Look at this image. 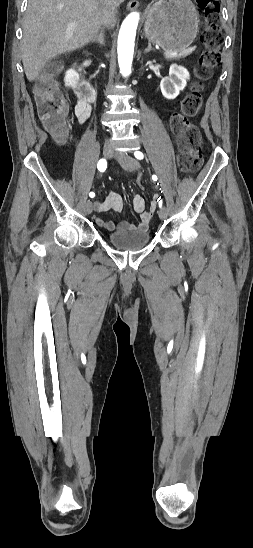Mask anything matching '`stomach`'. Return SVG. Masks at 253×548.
<instances>
[{
	"label": "stomach",
	"instance_id": "1",
	"mask_svg": "<svg viewBox=\"0 0 253 548\" xmlns=\"http://www.w3.org/2000/svg\"><path fill=\"white\" fill-rule=\"evenodd\" d=\"M198 13L190 0H159L149 10L145 36L171 53L186 50L198 31Z\"/></svg>",
	"mask_w": 253,
	"mask_h": 548
}]
</instances>
